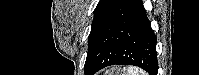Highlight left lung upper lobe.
Wrapping results in <instances>:
<instances>
[{
    "label": "left lung upper lobe",
    "instance_id": "1",
    "mask_svg": "<svg viewBox=\"0 0 199 75\" xmlns=\"http://www.w3.org/2000/svg\"><path fill=\"white\" fill-rule=\"evenodd\" d=\"M121 1L122 0H100L96 6L92 28L88 38V52L85 65L88 63L107 21Z\"/></svg>",
    "mask_w": 199,
    "mask_h": 75
}]
</instances>
